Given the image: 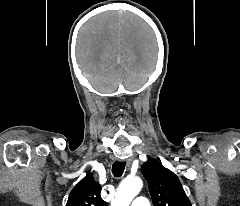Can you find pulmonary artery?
<instances>
[{
	"mask_svg": "<svg viewBox=\"0 0 240 206\" xmlns=\"http://www.w3.org/2000/svg\"><path fill=\"white\" fill-rule=\"evenodd\" d=\"M131 206H150V203L145 197H137L133 200Z\"/></svg>",
	"mask_w": 240,
	"mask_h": 206,
	"instance_id": "1",
	"label": "pulmonary artery"
}]
</instances>
